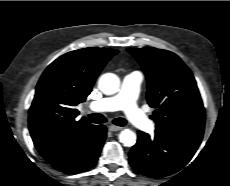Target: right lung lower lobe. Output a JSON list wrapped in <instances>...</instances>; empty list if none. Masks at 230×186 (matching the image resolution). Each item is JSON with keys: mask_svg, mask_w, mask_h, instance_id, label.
Masks as SVG:
<instances>
[{"mask_svg": "<svg viewBox=\"0 0 230 186\" xmlns=\"http://www.w3.org/2000/svg\"><path fill=\"white\" fill-rule=\"evenodd\" d=\"M105 126H93L73 141L60 155L48 162L57 170L75 174L86 171L97 162L106 138Z\"/></svg>", "mask_w": 230, "mask_h": 186, "instance_id": "right-lung-lower-lobe-1", "label": "right lung lower lobe"}]
</instances>
